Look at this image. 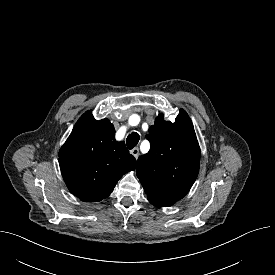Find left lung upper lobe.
<instances>
[{
	"mask_svg": "<svg viewBox=\"0 0 275 275\" xmlns=\"http://www.w3.org/2000/svg\"><path fill=\"white\" fill-rule=\"evenodd\" d=\"M146 138L151 147L138 158L137 177L148 200L175 203L188 193L199 172L200 147L191 119L182 109L173 123L159 114Z\"/></svg>",
	"mask_w": 275,
	"mask_h": 275,
	"instance_id": "obj_1",
	"label": "left lung upper lobe"
}]
</instances>
